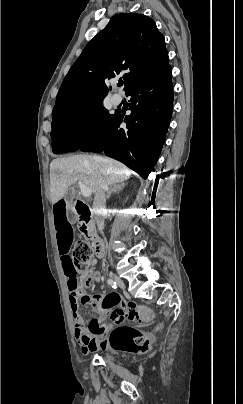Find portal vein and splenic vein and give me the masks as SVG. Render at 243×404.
Here are the masks:
<instances>
[{
  "mask_svg": "<svg viewBox=\"0 0 243 404\" xmlns=\"http://www.w3.org/2000/svg\"><path fill=\"white\" fill-rule=\"evenodd\" d=\"M78 184L81 188L82 196H84V198H89V196H91V194H92L91 188H88V186H85V184H83V182H78Z\"/></svg>",
  "mask_w": 243,
  "mask_h": 404,
  "instance_id": "18ae733b",
  "label": "portal vein and splenic vein"
}]
</instances>
